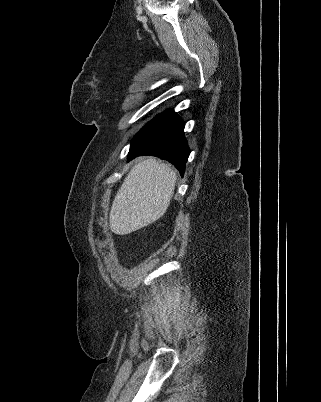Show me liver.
Returning a JSON list of instances; mask_svg holds the SVG:
<instances>
[{
    "mask_svg": "<svg viewBox=\"0 0 321 402\" xmlns=\"http://www.w3.org/2000/svg\"><path fill=\"white\" fill-rule=\"evenodd\" d=\"M176 173L155 158L136 163L118 190L109 216L113 233L126 235L161 218L171 201Z\"/></svg>",
    "mask_w": 321,
    "mask_h": 402,
    "instance_id": "6515ba94",
    "label": "liver"
}]
</instances>
